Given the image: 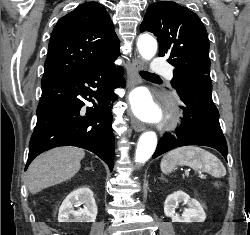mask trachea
Masks as SVG:
<instances>
[{
	"label": "trachea",
	"instance_id": "1",
	"mask_svg": "<svg viewBox=\"0 0 250 235\" xmlns=\"http://www.w3.org/2000/svg\"><path fill=\"white\" fill-rule=\"evenodd\" d=\"M140 75L142 77H158V75H156L154 73H150L148 71H140Z\"/></svg>",
	"mask_w": 250,
	"mask_h": 235
}]
</instances>
